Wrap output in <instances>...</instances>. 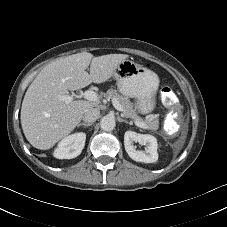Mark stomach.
I'll return each instance as SVG.
<instances>
[{
	"label": "stomach",
	"instance_id": "1",
	"mask_svg": "<svg viewBox=\"0 0 227 227\" xmlns=\"http://www.w3.org/2000/svg\"><path fill=\"white\" fill-rule=\"evenodd\" d=\"M113 78L122 94L136 99V109L139 113L148 114L154 110L159 87L156 73L126 59L115 69Z\"/></svg>",
	"mask_w": 227,
	"mask_h": 227
}]
</instances>
